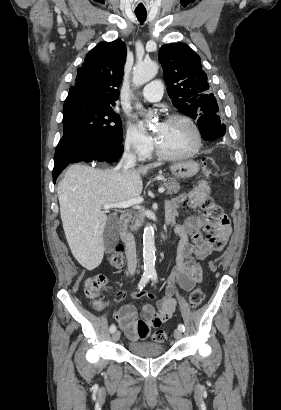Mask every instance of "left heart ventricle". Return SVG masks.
Here are the masks:
<instances>
[{
	"label": "left heart ventricle",
	"instance_id": "b2bd125f",
	"mask_svg": "<svg viewBox=\"0 0 281 410\" xmlns=\"http://www.w3.org/2000/svg\"><path fill=\"white\" fill-rule=\"evenodd\" d=\"M156 140L166 152L182 154L195 146L193 129L184 121H165L155 127Z\"/></svg>",
	"mask_w": 281,
	"mask_h": 410
}]
</instances>
